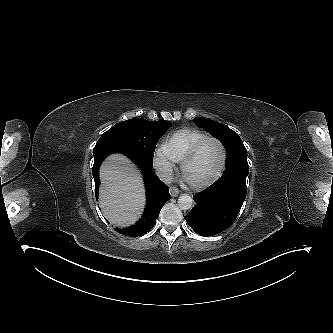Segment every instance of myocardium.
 I'll return each instance as SVG.
<instances>
[{
	"label": "myocardium",
	"instance_id": "myocardium-1",
	"mask_svg": "<svg viewBox=\"0 0 333 333\" xmlns=\"http://www.w3.org/2000/svg\"><path fill=\"white\" fill-rule=\"evenodd\" d=\"M210 140L215 141L220 146V149H221L220 166H219L217 172L208 180H205L202 182H191L186 178V175H185L186 166L197 155L198 151L203 146V144ZM226 161H227V152H226V148H225V145L223 144V142L215 136L208 135V136L202 138L201 140H199L197 143H195L190 148V150L186 153V155L184 156V158L181 161V171H182L184 177L186 178L188 184L191 187H193L195 189H202V188L212 185L221 177V175L225 169V166H226Z\"/></svg>",
	"mask_w": 333,
	"mask_h": 333
}]
</instances>
